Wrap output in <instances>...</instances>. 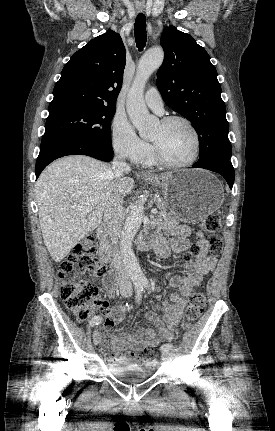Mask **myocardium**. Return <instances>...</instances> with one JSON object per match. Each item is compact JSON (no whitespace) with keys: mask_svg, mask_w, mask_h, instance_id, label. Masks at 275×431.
Here are the masks:
<instances>
[{"mask_svg":"<svg viewBox=\"0 0 275 431\" xmlns=\"http://www.w3.org/2000/svg\"><path fill=\"white\" fill-rule=\"evenodd\" d=\"M174 122H181V123L185 124L187 126V128L190 130V132L192 133L193 138H194V152H193L192 157L183 163L169 162L160 155L156 146L153 143H151V147H150L151 158L154 161V163H156L157 165H159L161 167L167 168V169H181V168L190 167L198 160V158L200 156L201 139H200L199 133H198L197 129L194 127V125L191 123V121L185 117H182V116H176V115L167 116V117H164L160 121V123L163 126H167V125L174 123Z\"/></svg>","mask_w":275,"mask_h":431,"instance_id":"obj_1","label":"myocardium"}]
</instances>
